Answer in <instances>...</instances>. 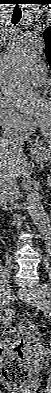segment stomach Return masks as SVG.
<instances>
[{"label": "stomach", "instance_id": "stomach-1", "mask_svg": "<svg viewBox=\"0 0 51 393\" xmlns=\"http://www.w3.org/2000/svg\"><path fill=\"white\" fill-rule=\"evenodd\" d=\"M33 157L35 161L42 165L51 163V147H46L45 145L39 147L37 151L33 152Z\"/></svg>", "mask_w": 51, "mask_h": 393}]
</instances>
